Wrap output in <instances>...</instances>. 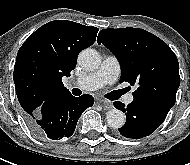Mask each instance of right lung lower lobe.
Instances as JSON below:
<instances>
[{
  "instance_id": "right-lung-lower-lobe-1",
  "label": "right lung lower lobe",
  "mask_w": 190,
  "mask_h": 165,
  "mask_svg": "<svg viewBox=\"0 0 190 165\" xmlns=\"http://www.w3.org/2000/svg\"><path fill=\"white\" fill-rule=\"evenodd\" d=\"M93 103L94 98L88 94L74 97L69 91L59 92L33 113H23V117L37 136L60 140L74 133L78 118Z\"/></svg>"
}]
</instances>
